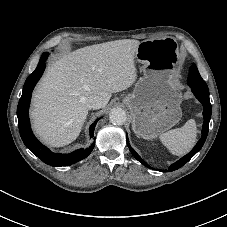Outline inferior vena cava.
<instances>
[{
  "mask_svg": "<svg viewBox=\"0 0 227 227\" xmlns=\"http://www.w3.org/2000/svg\"><path fill=\"white\" fill-rule=\"evenodd\" d=\"M104 105V102L101 97L99 96H91L86 101V106L88 109H99Z\"/></svg>",
  "mask_w": 227,
  "mask_h": 227,
  "instance_id": "602c4592",
  "label": "inferior vena cava"
}]
</instances>
